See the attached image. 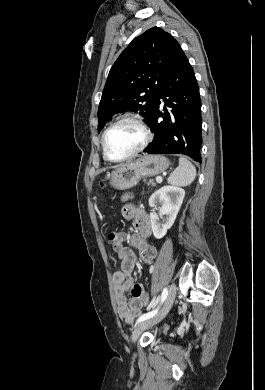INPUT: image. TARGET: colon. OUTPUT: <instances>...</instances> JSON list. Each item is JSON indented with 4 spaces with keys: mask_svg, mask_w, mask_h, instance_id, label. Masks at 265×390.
<instances>
[{
    "mask_svg": "<svg viewBox=\"0 0 265 390\" xmlns=\"http://www.w3.org/2000/svg\"><path fill=\"white\" fill-rule=\"evenodd\" d=\"M107 242L109 245H111L114 249L118 246V237L117 234L114 232H111L107 235ZM142 301L144 306H147L148 309L152 308L154 306V302L150 301L147 294H144L142 296Z\"/></svg>",
    "mask_w": 265,
    "mask_h": 390,
    "instance_id": "5ec220e1",
    "label": "colon"
}]
</instances>
